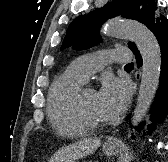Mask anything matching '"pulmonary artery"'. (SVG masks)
Returning a JSON list of instances; mask_svg holds the SVG:
<instances>
[{"instance_id":"1","label":"pulmonary artery","mask_w":168,"mask_h":162,"mask_svg":"<svg viewBox=\"0 0 168 162\" xmlns=\"http://www.w3.org/2000/svg\"><path fill=\"white\" fill-rule=\"evenodd\" d=\"M131 59V53L127 48L116 47L82 55L70 64L69 69L86 82L93 73L104 68L109 62H129Z\"/></svg>"}]
</instances>
